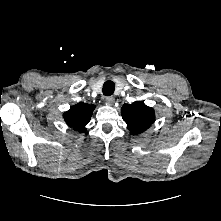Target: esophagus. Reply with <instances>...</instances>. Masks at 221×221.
Returning a JSON list of instances; mask_svg holds the SVG:
<instances>
[{
	"mask_svg": "<svg viewBox=\"0 0 221 221\" xmlns=\"http://www.w3.org/2000/svg\"><path fill=\"white\" fill-rule=\"evenodd\" d=\"M105 101H106V104L113 105L115 103V98L112 96H107Z\"/></svg>",
	"mask_w": 221,
	"mask_h": 221,
	"instance_id": "1",
	"label": "esophagus"
}]
</instances>
